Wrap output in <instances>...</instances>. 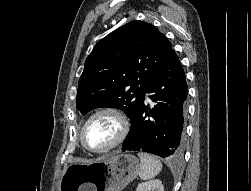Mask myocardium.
I'll use <instances>...</instances> for the list:
<instances>
[{
    "label": "myocardium",
    "mask_w": 251,
    "mask_h": 191,
    "mask_svg": "<svg viewBox=\"0 0 251 191\" xmlns=\"http://www.w3.org/2000/svg\"><path fill=\"white\" fill-rule=\"evenodd\" d=\"M100 114H110V115H112L116 119V121L118 123L119 133H118L116 139L114 140V142L109 147H107L106 149H104V150H102L100 152H93V151L88 150L83 145L82 133H83V130H84L85 126L87 125V123L93 117H95L97 115H100ZM128 130H129V122H128L127 118L120 111H118L117 109H115L113 107H101V108H98V109L94 110L93 112H91L86 117V119L83 121L82 126L80 127V130L78 132L77 144H78L79 148L83 152H85L87 154H90V155L101 156V155L107 154L111 150L118 147L125 140V138L127 136V133H128Z\"/></svg>",
    "instance_id": "f54148a6"
}]
</instances>
